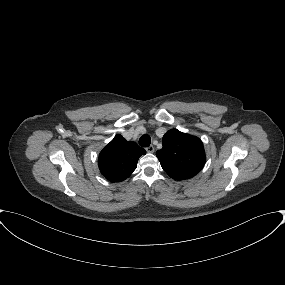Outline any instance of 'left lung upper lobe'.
Here are the masks:
<instances>
[{"instance_id":"5c2ea615","label":"left lung upper lobe","mask_w":285,"mask_h":285,"mask_svg":"<svg viewBox=\"0 0 285 285\" xmlns=\"http://www.w3.org/2000/svg\"><path fill=\"white\" fill-rule=\"evenodd\" d=\"M162 145L156 156L171 178L190 179L202 170L206 157L198 137L172 129L163 136Z\"/></svg>"}]
</instances>
